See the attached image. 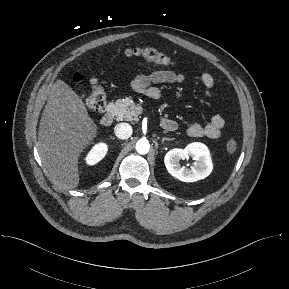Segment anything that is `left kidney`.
Wrapping results in <instances>:
<instances>
[{
    "instance_id": "5707ae66",
    "label": "left kidney",
    "mask_w": 289,
    "mask_h": 289,
    "mask_svg": "<svg viewBox=\"0 0 289 289\" xmlns=\"http://www.w3.org/2000/svg\"><path fill=\"white\" fill-rule=\"evenodd\" d=\"M192 158L195 162L191 169L182 167L180 161ZM167 171L183 182H196L212 172V161L206 145L198 142L188 144L184 149L174 148L164 157Z\"/></svg>"
}]
</instances>
